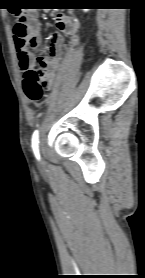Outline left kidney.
Here are the masks:
<instances>
[{
  "label": "left kidney",
  "mask_w": 145,
  "mask_h": 278,
  "mask_svg": "<svg viewBox=\"0 0 145 278\" xmlns=\"http://www.w3.org/2000/svg\"><path fill=\"white\" fill-rule=\"evenodd\" d=\"M83 11L87 12V11H89V9H83Z\"/></svg>",
  "instance_id": "5707ae66"
}]
</instances>
